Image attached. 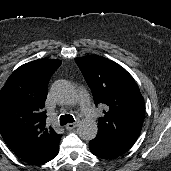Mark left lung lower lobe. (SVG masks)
Masks as SVG:
<instances>
[{
	"mask_svg": "<svg viewBox=\"0 0 171 171\" xmlns=\"http://www.w3.org/2000/svg\"><path fill=\"white\" fill-rule=\"evenodd\" d=\"M89 148L95 156L103 159L119 157L129 150L98 134L89 142Z\"/></svg>",
	"mask_w": 171,
	"mask_h": 171,
	"instance_id": "1",
	"label": "left lung lower lobe"
}]
</instances>
